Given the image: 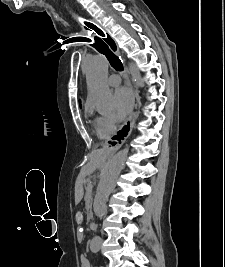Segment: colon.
<instances>
[{
  "label": "colon",
  "instance_id": "obj_1",
  "mask_svg": "<svg viewBox=\"0 0 225 267\" xmlns=\"http://www.w3.org/2000/svg\"><path fill=\"white\" fill-rule=\"evenodd\" d=\"M75 219H76L77 223H79V224L82 222V220H83V215H82V213H81L80 211H77V212H76V214H75Z\"/></svg>",
  "mask_w": 225,
  "mask_h": 267
}]
</instances>
